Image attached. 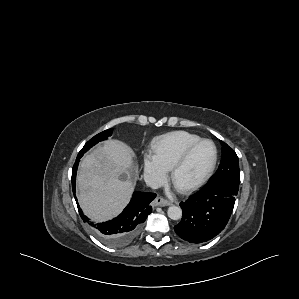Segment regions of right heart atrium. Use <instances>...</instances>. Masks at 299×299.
<instances>
[{"mask_svg":"<svg viewBox=\"0 0 299 299\" xmlns=\"http://www.w3.org/2000/svg\"><path fill=\"white\" fill-rule=\"evenodd\" d=\"M143 165L144 176L150 185L155 187L165 182L167 171L160 165L153 155H145Z\"/></svg>","mask_w":299,"mask_h":299,"instance_id":"d8ad5b80","label":"right heart atrium"}]
</instances>
